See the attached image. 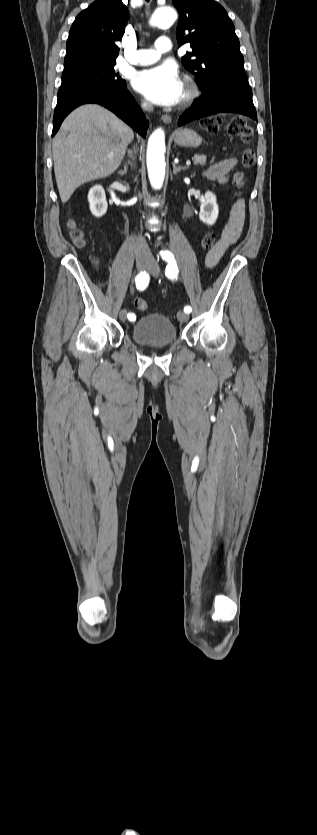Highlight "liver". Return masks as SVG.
<instances>
[{
  "label": "liver",
  "mask_w": 317,
  "mask_h": 835,
  "mask_svg": "<svg viewBox=\"0 0 317 835\" xmlns=\"http://www.w3.org/2000/svg\"><path fill=\"white\" fill-rule=\"evenodd\" d=\"M133 138L127 124L99 105H82L70 113L52 142L61 201L66 203L80 185L114 173Z\"/></svg>",
  "instance_id": "6515ba94"
}]
</instances>
